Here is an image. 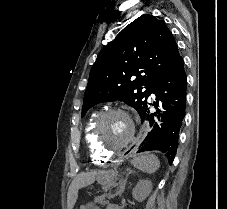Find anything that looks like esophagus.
<instances>
[{
  "instance_id": "34e87169",
  "label": "esophagus",
  "mask_w": 227,
  "mask_h": 209,
  "mask_svg": "<svg viewBox=\"0 0 227 209\" xmlns=\"http://www.w3.org/2000/svg\"><path fill=\"white\" fill-rule=\"evenodd\" d=\"M150 128L149 124H145V121H142V125L139 129V138H136L133 144L129 145L130 149H125L124 151H120L119 154L117 155V158L120 160L125 159L126 157H129V154L133 153L132 149H137L138 146H141V144L145 141V138L149 137L148 129ZM120 163L119 162H112L111 163V168L114 167H119Z\"/></svg>"
}]
</instances>
